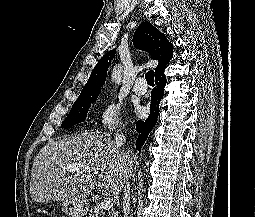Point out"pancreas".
Returning a JSON list of instances; mask_svg holds the SVG:
<instances>
[{
  "instance_id": "1",
  "label": "pancreas",
  "mask_w": 255,
  "mask_h": 217,
  "mask_svg": "<svg viewBox=\"0 0 255 217\" xmlns=\"http://www.w3.org/2000/svg\"><path fill=\"white\" fill-rule=\"evenodd\" d=\"M88 217H119V215L114 209L106 212L100 204H95L90 208Z\"/></svg>"
}]
</instances>
